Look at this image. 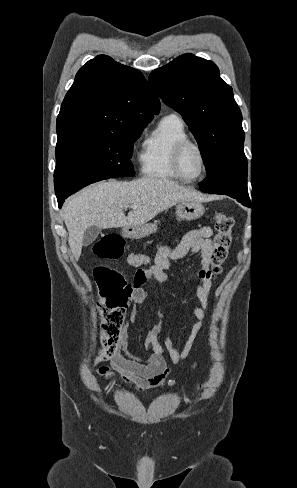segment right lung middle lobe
Segmentation results:
<instances>
[{"mask_svg": "<svg viewBox=\"0 0 297 488\" xmlns=\"http://www.w3.org/2000/svg\"><path fill=\"white\" fill-rule=\"evenodd\" d=\"M145 126L58 137L54 172L57 199L100 180L134 176L130 161L133 143Z\"/></svg>", "mask_w": 297, "mask_h": 488, "instance_id": "dd1d6c3e", "label": "right lung middle lobe"}]
</instances>
